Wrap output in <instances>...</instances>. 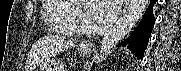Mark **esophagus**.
<instances>
[{
  "mask_svg": "<svg viewBox=\"0 0 181 71\" xmlns=\"http://www.w3.org/2000/svg\"><path fill=\"white\" fill-rule=\"evenodd\" d=\"M129 2H130V0H125V2H124V9L127 8V6L129 5ZM84 45H87L89 47H93V45H91V44H84Z\"/></svg>",
  "mask_w": 181,
  "mask_h": 71,
  "instance_id": "34e87169",
  "label": "esophagus"
}]
</instances>
